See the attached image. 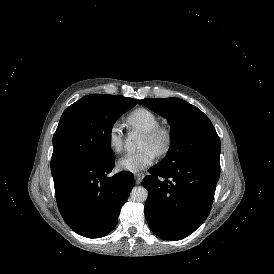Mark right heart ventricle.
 <instances>
[{"instance_id": "1", "label": "right heart ventricle", "mask_w": 274, "mask_h": 274, "mask_svg": "<svg viewBox=\"0 0 274 274\" xmlns=\"http://www.w3.org/2000/svg\"><path fill=\"white\" fill-rule=\"evenodd\" d=\"M127 122L130 125L139 128L142 132H148L159 127L158 118L147 110L134 112L127 118Z\"/></svg>"}]
</instances>
